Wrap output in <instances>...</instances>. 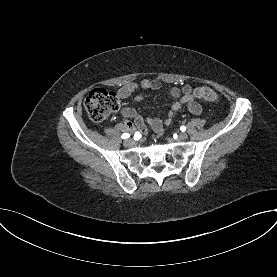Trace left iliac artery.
Wrapping results in <instances>:
<instances>
[{"instance_id": "obj_1", "label": "left iliac artery", "mask_w": 277, "mask_h": 277, "mask_svg": "<svg viewBox=\"0 0 277 277\" xmlns=\"http://www.w3.org/2000/svg\"><path fill=\"white\" fill-rule=\"evenodd\" d=\"M180 130H181L182 132H184V131L186 130V127H185V126H181V127H180Z\"/></svg>"}]
</instances>
